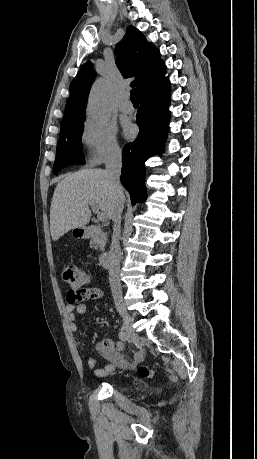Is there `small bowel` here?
<instances>
[{
    "label": "small bowel",
    "mask_w": 257,
    "mask_h": 459,
    "mask_svg": "<svg viewBox=\"0 0 257 459\" xmlns=\"http://www.w3.org/2000/svg\"><path fill=\"white\" fill-rule=\"evenodd\" d=\"M89 296L85 300H96L103 297V292L99 288H86ZM78 294V290L70 289L67 292L66 299H67V306H66V314L69 321V329L72 332H76L78 330V324L76 322L77 315H83L87 311V305L85 300H76V296ZM96 351L107 361L109 364L105 368H99L97 365V361L93 357H89L87 359L88 367L93 371V373L98 377H104L111 373L116 366L125 364L128 362V358H126L122 351L124 349V343L118 340H115L111 337H106L101 341L96 343ZM142 358V354L137 352L134 354L132 362H138Z\"/></svg>",
    "instance_id": "small-bowel-1"
}]
</instances>
